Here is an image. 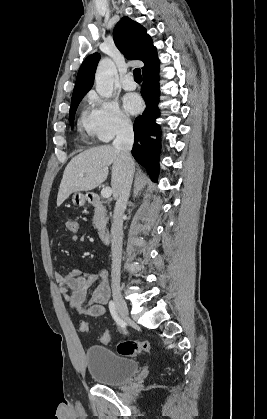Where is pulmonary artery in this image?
<instances>
[{"label":"pulmonary artery","mask_w":267,"mask_h":419,"mask_svg":"<svg viewBox=\"0 0 267 419\" xmlns=\"http://www.w3.org/2000/svg\"><path fill=\"white\" fill-rule=\"evenodd\" d=\"M122 86L125 90H134L137 87V84L131 73H128L122 82Z\"/></svg>","instance_id":"obj_1"}]
</instances>
